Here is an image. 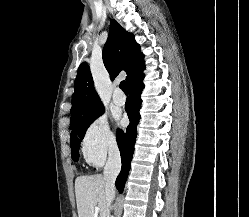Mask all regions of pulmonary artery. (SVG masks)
I'll return each mask as SVG.
<instances>
[{
	"label": "pulmonary artery",
	"mask_w": 249,
	"mask_h": 217,
	"mask_svg": "<svg viewBox=\"0 0 249 217\" xmlns=\"http://www.w3.org/2000/svg\"><path fill=\"white\" fill-rule=\"evenodd\" d=\"M125 101V96L120 91H116L113 95V102L118 106H122L125 104Z\"/></svg>",
	"instance_id": "e3ab8cb5"
}]
</instances>
